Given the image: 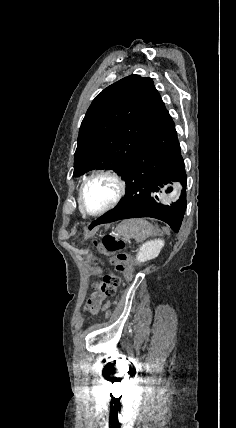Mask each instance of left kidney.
<instances>
[{
	"mask_svg": "<svg viewBox=\"0 0 236 428\" xmlns=\"http://www.w3.org/2000/svg\"><path fill=\"white\" fill-rule=\"evenodd\" d=\"M163 246V240H150V242H145V244H142L141 248H139V252L137 254L138 262H147V260L157 258Z\"/></svg>",
	"mask_w": 236,
	"mask_h": 428,
	"instance_id": "obj_1",
	"label": "left kidney"
}]
</instances>
